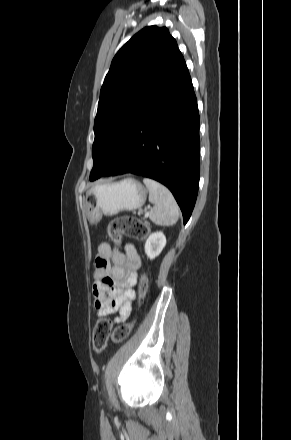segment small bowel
I'll list each match as a JSON object with an SVG mask.
<instances>
[{
  "mask_svg": "<svg viewBox=\"0 0 291 440\" xmlns=\"http://www.w3.org/2000/svg\"><path fill=\"white\" fill-rule=\"evenodd\" d=\"M139 265V256L132 244H127L124 252L113 249L107 242L99 245L92 287L98 316L118 311L116 323L130 316Z\"/></svg>",
  "mask_w": 291,
  "mask_h": 440,
  "instance_id": "obj_1",
  "label": "small bowel"
}]
</instances>
